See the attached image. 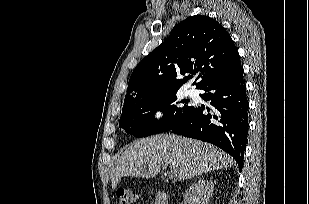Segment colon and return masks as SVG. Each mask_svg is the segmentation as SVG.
<instances>
[{
	"instance_id": "colon-1",
	"label": "colon",
	"mask_w": 309,
	"mask_h": 204,
	"mask_svg": "<svg viewBox=\"0 0 309 204\" xmlns=\"http://www.w3.org/2000/svg\"><path fill=\"white\" fill-rule=\"evenodd\" d=\"M116 196L119 200V204H134L138 199L137 193L130 188L118 189Z\"/></svg>"
}]
</instances>
